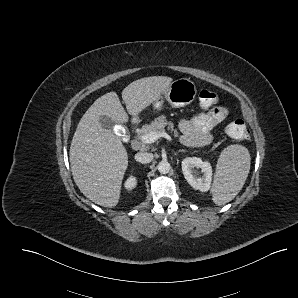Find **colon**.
<instances>
[{
    "label": "colon",
    "instance_id": "obj_1",
    "mask_svg": "<svg viewBox=\"0 0 298 298\" xmlns=\"http://www.w3.org/2000/svg\"><path fill=\"white\" fill-rule=\"evenodd\" d=\"M199 103L203 108H208L217 102V95L208 89H203L198 95ZM226 133L235 140H247L249 131L245 122L242 119L231 121L225 128Z\"/></svg>",
    "mask_w": 298,
    "mask_h": 298
}]
</instances>
